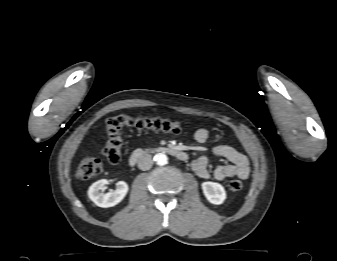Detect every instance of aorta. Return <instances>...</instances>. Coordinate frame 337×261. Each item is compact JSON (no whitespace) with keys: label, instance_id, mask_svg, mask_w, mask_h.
<instances>
[{"label":"aorta","instance_id":"aorta-1","mask_svg":"<svg viewBox=\"0 0 337 261\" xmlns=\"http://www.w3.org/2000/svg\"><path fill=\"white\" fill-rule=\"evenodd\" d=\"M155 161L159 166H164L168 162V158L164 153H159L155 156Z\"/></svg>","mask_w":337,"mask_h":261}]
</instances>
